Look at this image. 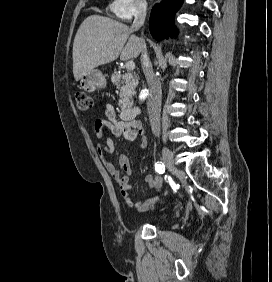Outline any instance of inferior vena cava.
<instances>
[{
    "label": "inferior vena cava",
    "instance_id": "1",
    "mask_svg": "<svg viewBox=\"0 0 272 282\" xmlns=\"http://www.w3.org/2000/svg\"><path fill=\"white\" fill-rule=\"evenodd\" d=\"M147 11V4L145 2H139L134 14V21L131 26L132 31H138L145 22ZM142 42V54L141 63L143 73L148 83L149 97H148V113L150 119V125L152 132L155 136H160V112H161V83L154 74L152 64L147 54L146 44L143 38H140Z\"/></svg>",
    "mask_w": 272,
    "mask_h": 282
}]
</instances>
